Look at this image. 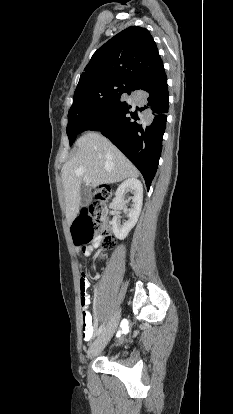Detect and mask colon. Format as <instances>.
<instances>
[{"label": "colon", "mask_w": 233, "mask_h": 414, "mask_svg": "<svg viewBox=\"0 0 233 414\" xmlns=\"http://www.w3.org/2000/svg\"><path fill=\"white\" fill-rule=\"evenodd\" d=\"M111 195L112 190L108 185H101L95 190L93 202L73 223L72 236L75 245L86 246L92 243L97 234L104 229L107 216L106 202ZM110 244V238H105L102 247H108Z\"/></svg>", "instance_id": "5ec220e1"}]
</instances>
